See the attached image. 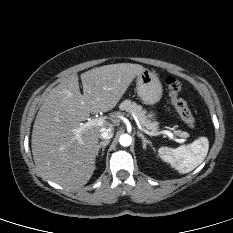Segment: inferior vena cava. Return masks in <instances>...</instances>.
I'll list each match as a JSON object with an SVG mask.
<instances>
[{
	"mask_svg": "<svg viewBox=\"0 0 233 233\" xmlns=\"http://www.w3.org/2000/svg\"><path fill=\"white\" fill-rule=\"evenodd\" d=\"M99 137L101 139L109 140L113 137V128L108 127V128H101Z\"/></svg>",
	"mask_w": 233,
	"mask_h": 233,
	"instance_id": "obj_1",
	"label": "inferior vena cava"
}]
</instances>
